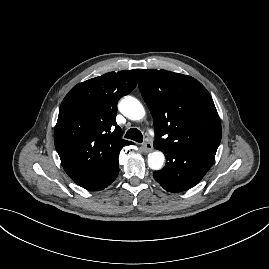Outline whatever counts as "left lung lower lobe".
<instances>
[{
	"mask_svg": "<svg viewBox=\"0 0 269 269\" xmlns=\"http://www.w3.org/2000/svg\"><path fill=\"white\" fill-rule=\"evenodd\" d=\"M166 156V165L153 176L169 192L197 185L214 162L216 152L188 147H155Z\"/></svg>",
	"mask_w": 269,
	"mask_h": 269,
	"instance_id": "obj_1",
	"label": "left lung lower lobe"
}]
</instances>
